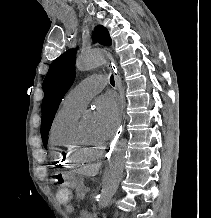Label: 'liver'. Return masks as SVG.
Listing matches in <instances>:
<instances>
[{
  "instance_id": "1",
  "label": "liver",
  "mask_w": 211,
  "mask_h": 218,
  "mask_svg": "<svg viewBox=\"0 0 211 218\" xmlns=\"http://www.w3.org/2000/svg\"><path fill=\"white\" fill-rule=\"evenodd\" d=\"M100 166L101 164H95V166H88V168H86L85 170V174H87V176H96V174H98Z\"/></svg>"
}]
</instances>
